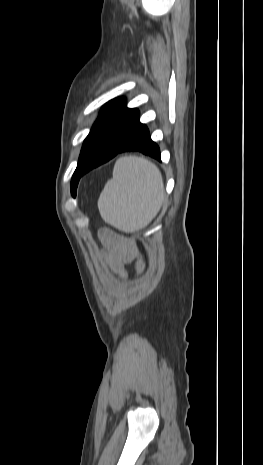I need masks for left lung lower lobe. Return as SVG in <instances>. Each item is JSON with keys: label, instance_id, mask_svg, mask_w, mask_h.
<instances>
[{"label": "left lung lower lobe", "instance_id": "obj_1", "mask_svg": "<svg viewBox=\"0 0 263 465\" xmlns=\"http://www.w3.org/2000/svg\"><path fill=\"white\" fill-rule=\"evenodd\" d=\"M124 151H139L160 160L159 147L140 123L137 109L126 108L107 127L83 166L82 175Z\"/></svg>", "mask_w": 263, "mask_h": 465}]
</instances>
